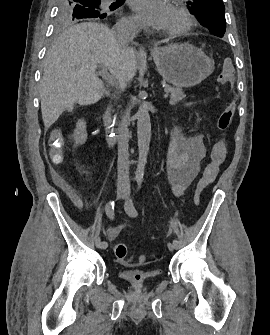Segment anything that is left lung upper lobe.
Wrapping results in <instances>:
<instances>
[{"mask_svg": "<svg viewBox=\"0 0 270 335\" xmlns=\"http://www.w3.org/2000/svg\"><path fill=\"white\" fill-rule=\"evenodd\" d=\"M187 8L209 31L223 37L226 31L225 7L222 0H191Z\"/></svg>", "mask_w": 270, "mask_h": 335, "instance_id": "left-lung-upper-lobe-1", "label": "left lung upper lobe"}]
</instances>
